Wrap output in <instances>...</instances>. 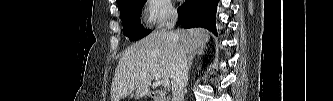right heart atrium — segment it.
Returning a JSON list of instances; mask_svg holds the SVG:
<instances>
[{
	"mask_svg": "<svg viewBox=\"0 0 333 101\" xmlns=\"http://www.w3.org/2000/svg\"><path fill=\"white\" fill-rule=\"evenodd\" d=\"M175 16V10L170 0L147 1L146 17L150 25L162 26Z\"/></svg>",
	"mask_w": 333,
	"mask_h": 101,
	"instance_id": "1",
	"label": "right heart atrium"
}]
</instances>
